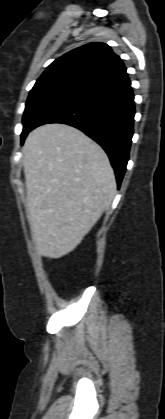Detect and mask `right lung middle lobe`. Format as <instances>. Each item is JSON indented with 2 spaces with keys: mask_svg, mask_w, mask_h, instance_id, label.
I'll return each instance as SVG.
<instances>
[{
  "mask_svg": "<svg viewBox=\"0 0 165 419\" xmlns=\"http://www.w3.org/2000/svg\"><path fill=\"white\" fill-rule=\"evenodd\" d=\"M82 95L80 91L56 86L31 90L22 119L21 143L41 118Z\"/></svg>",
  "mask_w": 165,
  "mask_h": 419,
  "instance_id": "1",
  "label": "right lung middle lobe"
}]
</instances>
